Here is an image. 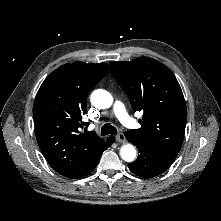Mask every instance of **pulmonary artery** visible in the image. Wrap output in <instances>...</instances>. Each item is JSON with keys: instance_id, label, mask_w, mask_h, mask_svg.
<instances>
[{"instance_id": "obj_1", "label": "pulmonary artery", "mask_w": 221, "mask_h": 221, "mask_svg": "<svg viewBox=\"0 0 221 221\" xmlns=\"http://www.w3.org/2000/svg\"><path fill=\"white\" fill-rule=\"evenodd\" d=\"M113 113L118 118V120L127 127H134L135 122L128 115L125 106L122 102L116 101L113 105Z\"/></svg>"}]
</instances>
